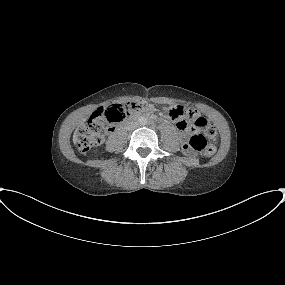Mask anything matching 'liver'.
I'll use <instances>...</instances> for the list:
<instances>
[{"instance_id": "6515ba94", "label": "liver", "mask_w": 285, "mask_h": 285, "mask_svg": "<svg viewBox=\"0 0 285 285\" xmlns=\"http://www.w3.org/2000/svg\"><path fill=\"white\" fill-rule=\"evenodd\" d=\"M84 121H85V119H84ZM77 141H78V135H77V132H75L73 135V142L76 144Z\"/></svg>"}]
</instances>
